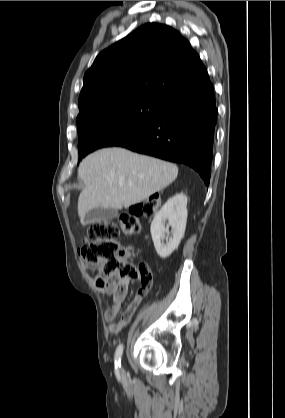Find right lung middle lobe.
<instances>
[{"instance_id": "1", "label": "right lung middle lobe", "mask_w": 285, "mask_h": 418, "mask_svg": "<svg viewBox=\"0 0 285 418\" xmlns=\"http://www.w3.org/2000/svg\"><path fill=\"white\" fill-rule=\"evenodd\" d=\"M150 101L112 105L77 122L79 160L96 149L115 146L140 132L162 112Z\"/></svg>"}]
</instances>
